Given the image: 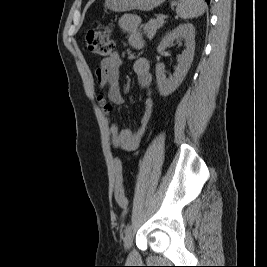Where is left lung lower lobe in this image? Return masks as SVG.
Wrapping results in <instances>:
<instances>
[{"label": "left lung lower lobe", "mask_w": 267, "mask_h": 267, "mask_svg": "<svg viewBox=\"0 0 267 267\" xmlns=\"http://www.w3.org/2000/svg\"><path fill=\"white\" fill-rule=\"evenodd\" d=\"M208 4L210 3V0H205Z\"/></svg>", "instance_id": "obj_1"}]
</instances>
